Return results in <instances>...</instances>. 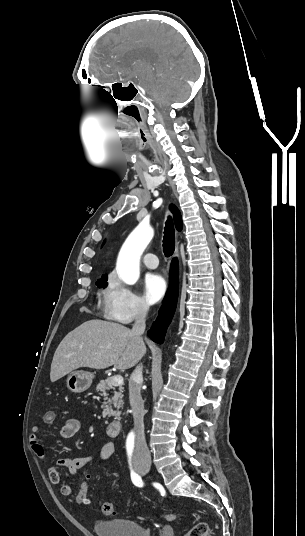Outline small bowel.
<instances>
[{
    "instance_id": "small-bowel-1",
    "label": "small bowel",
    "mask_w": 305,
    "mask_h": 536,
    "mask_svg": "<svg viewBox=\"0 0 305 536\" xmlns=\"http://www.w3.org/2000/svg\"><path fill=\"white\" fill-rule=\"evenodd\" d=\"M81 429V422L77 418H71L67 420L66 424L60 430V437L63 439H70L74 437L79 430ZM42 430V427H32L31 433L29 436L30 446L33 453L40 458L45 460V450L40 443L39 434ZM114 451V445L110 442L105 443L99 453L101 460H107ZM94 458L91 456L71 458V457H61L56 461V466L47 465L46 472L47 476L51 483L58 484L60 481V475L57 467H61L67 470L70 474H76L87 465L93 462ZM74 492V487L70 484H64L60 488V493L62 496L68 497Z\"/></svg>"
}]
</instances>
